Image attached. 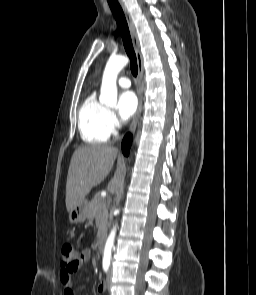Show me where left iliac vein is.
<instances>
[{"instance_id":"1","label":"left iliac vein","mask_w":256,"mask_h":295,"mask_svg":"<svg viewBox=\"0 0 256 295\" xmlns=\"http://www.w3.org/2000/svg\"><path fill=\"white\" fill-rule=\"evenodd\" d=\"M112 269L109 270L107 275V287L110 288L112 286Z\"/></svg>"}]
</instances>
